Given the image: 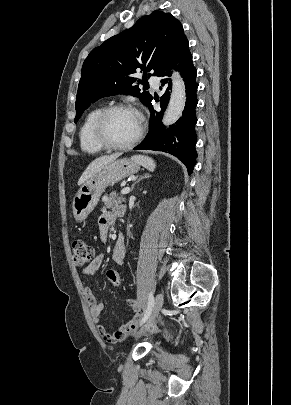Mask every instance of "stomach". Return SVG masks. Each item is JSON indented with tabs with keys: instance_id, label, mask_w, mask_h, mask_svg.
I'll return each instance as SVG.
<instances>
[{
	"instance_id": "1",
	"label": "stomach",
	"mask_w": 291,
	"mask_h": 405,
	"mask_svg": "<svg viewBox=\"0 0 291 405\" xmlns=\"http://www.w3.org/2000/svg\"><path fill=\"white\" fill-rule=\"evenodd\" d=\"M139 169L140 165L132 158L114 160L105 165L98 173L84 182L74 197L72 209L75 220H85L108 186L137 173Z\"/></svg>"
}]
</instances>
